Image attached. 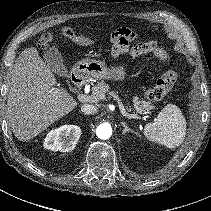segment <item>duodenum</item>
Returning <instances> with one entry per match:
<instances>
[{
    "label": "duodenum",
    "instance_id": "1",
    "mask_svg": "<svg viewBox=\"0 0 211 211\" xmlns=\"http://www.w3.org/2000/svg\"><path fill=\"white\" fill-rule=\"evenodd\" d=\"M72 81L77 87H81L84 84V80L78 72L72 74Z\"/></svg>",
    "mask_w": 211,
    "mask_h": 211
}]
</instances>
